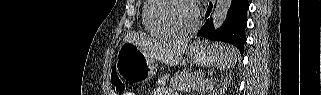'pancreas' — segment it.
I'll return each mask as SVG.
<instances>
[{
	"label": "pancreas",
	"instance_id": "obj_1",
	"mask_svg": "<svg viewBox=\"0 0 321 95\" xmlns=\"http://www.w3.org/2000/svg\"><path fill=\"white\" fill-rule=\"evenodd\" d=\"M214 83V80L206 78L201 73L177 72L172 78L174 90L198 91L201 94L207 92Z\"/></svg>",
	"mask_w": 321,
	"mask_h": 95
}]
</instances>
